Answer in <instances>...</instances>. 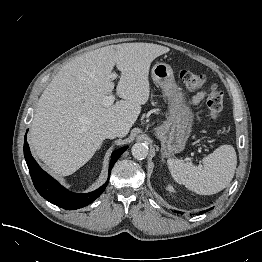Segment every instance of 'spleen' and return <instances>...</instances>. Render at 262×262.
<instances>
[{
	"mask_svg": "<svg viewBox=\"0 0 262 262\" xmlns=\"http://www.w3.org/2000/svg\"><path fill=\"white\" fill-rule=\"evenodd\" d=\"M173 179L187 189L200 194L218 193L231 182L236 169V152L231 145H222L204 157L203 167L194 166L183 160H167Z\"/></svg>",
	"mask_w": 262,
	"mask_h": 262,
	"instance_id": "1",
	"label": "spleen"
}]
</instances>
